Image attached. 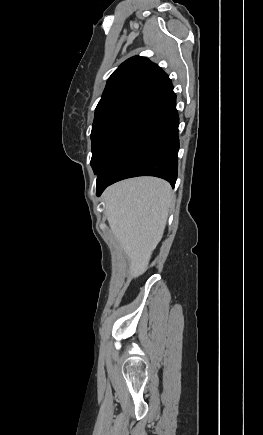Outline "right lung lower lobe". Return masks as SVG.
Segmentation results:
<instances>
[{"instance_id":"1","label":"right lung lower lobe","mask_w":263,"mask_h":435,"mask_svg":"<svg viewBox=\"0 0 263 435\" xmlns=\"http://www.w3.org/2000/svg\"><path fill=\"white\" fill-rule=\"evenodd\" d=\"M176 95L172 84L146 102L117 141L97 174L96 192L136 176H156L174 187L178 168Z\"/></svg>"}]
</instances>
